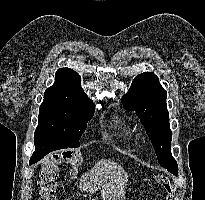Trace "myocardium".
I'll list each match as a JSON object with an SVG mask.
<instances>
[{
	"label": "myocardium",
	"mask_w": 205,
	"mask_h": 200,
	"mask_svg": "<svg viewBox=\"0 0 205 200\" xmlns=\"http://www.w3.org/2000/svg\"><path fill=\"white\" fill-rule=\"evenodd\" d=\"M138 139H139V140H144V136H143L142 134H139V135H138Z\"/></svg>",
	"instance_id": "obj_1"
}]
</instances>
